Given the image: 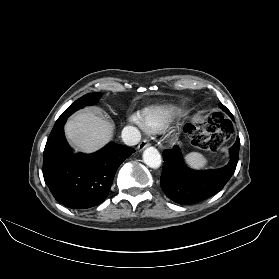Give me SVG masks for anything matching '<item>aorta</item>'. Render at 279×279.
<instances>
[{"instance_id": "aorta-1", "label": "aorta", "mask_w": 279, "mask_h": 279, "mask_svg": "<svg viewBox=\"0 0 279 279\" xmlns=\"http://www.w3.org/2000/svg\"><path fill=\"white\" fill-rule=\"evenodd\" d=\"M143 161L150 168L157 169L161 165V155L154 147H148L143 152Z\"/></svg>"}]
</instances>
